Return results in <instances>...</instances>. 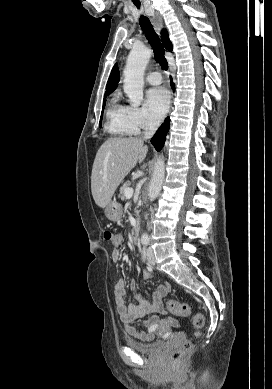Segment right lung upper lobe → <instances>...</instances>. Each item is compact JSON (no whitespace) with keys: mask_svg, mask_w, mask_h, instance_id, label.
Wrapping results in <instances>:
<instances>
[{"mask_svg":"<svg viewBox=\"0 0 272 389\" xmlns=\"http://www.w3.org/2000/svg\"><path fill=\"white\" fill-rule=\"evenodd\" d=\"M161 34H162V42L165 48L168 50H172V43L168 38L167 32L163 30ZM119 80H120L119 70L117 64H115L109 76L105 94L112 93L116 89Z\"/></svg>","mask_w":272,"mask_h":389,"instance_id":"right-lung-upper-lobe-1","label":"right lung upper lobe"}]
</instances>
